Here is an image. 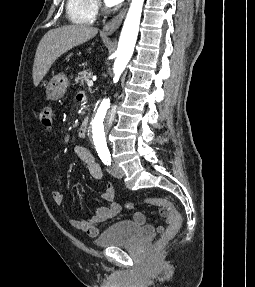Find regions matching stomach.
I'll return each instance as SVG.
<instances>
[{"instance_id": "stomach-1", "label": "stomach", "mask_w": 255, "mask_h": 287, "mask_svg": "<svg viewBox=\"0 0 255 287\" xmlns=\"http://www.w3.org/2000/svg\"><path fill=\"white\" fill-rule=\"evenodd\" d=\"M68 86L67 76H64V74L54 76L46 88V100H60V98H63Z\"/></svg>"}]
</instances>
